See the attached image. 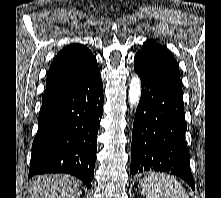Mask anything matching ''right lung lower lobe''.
I'll use <instances>...</instances> for the list:
<instances>
[{"instance_id": "right-lung-lower-lobe-1", "label": "right lung lower lobe", "mask_w": 221, "mask_h": 198, "mask_svg": "<svg viewBox=\"0 0 221 198\" xmlns=\"http://www.w3.org/2000/svg\"><path fill=\"white\" fill-rule=\"evenodd\" d=\"M102 112L99 70L74 88L42 102L28 177L68 173L91 188Z\"/></svg>"}]
</instances>
